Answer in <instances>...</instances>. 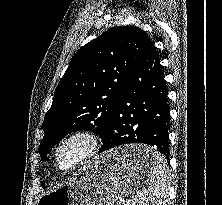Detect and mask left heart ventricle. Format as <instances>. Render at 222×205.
I'll return each mask as SVG.
<instances>
[{"mask_svg":"<svg viewBox=\"0 0 222 205\" xmlns=\"http://www.w3.org/2000/svg\"><path fill=\"white\" fill-rule=\"evenodd\" d=\"M83 150V144L79 141L66 144L60 151L59 159L62 165H68L78 158Z\"/></svg>","mask_w":222,"mask_h":205,"instance_id":"1","label":"left heart ventricle"}]
</instances>
